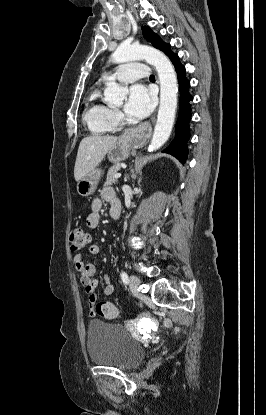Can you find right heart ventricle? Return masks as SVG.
<instances>
[{
	"instance_id": "obj_1",
	"label": "right heart ventricle",
	"mask_w": 266,
	"mask_h": 415,
	"mask_svg": "<svg viewBox=\"0 0 266 415\" xmlns=\"http://www.w3.org/2000/svg\"><path fill=\"white\" fill-rule=\"evenodd\" d=\"M112 112L113 110L102 100L101 92L95 90L88 98L84 121L92 132L98 134L108 133L115 128Z\"/></svg>"
}]
</instances>
